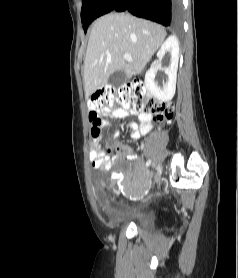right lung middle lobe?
<instances>
[{
	"mask_svg": "<svg viewBox=\"0 0 238 278\" xmlns=\"http://www.w3.org/2000/svg\"><path fill=\"white\" fill-rule=\"evenodd\" d=\"M100 1L101 0H83L81 9V21L83 23V29L85 32L88 28V25L90 24V14Z\"/></svg>",
	"mask_w": 238,
	"mask_h": 278,
	"instance_id": "right-lung-middle-lobe-1",
	"label": "right lung middle lobe"
}]
</instances>
